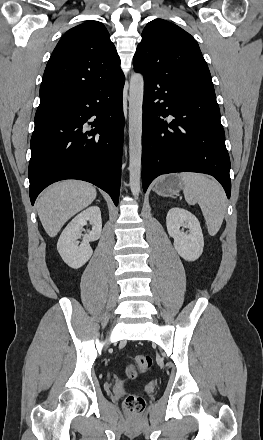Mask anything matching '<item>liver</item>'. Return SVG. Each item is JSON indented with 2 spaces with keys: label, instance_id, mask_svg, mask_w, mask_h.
<instances>
[{
  "label": "liver",
  "instance_id": "liver-1",
  "mask_svg": "<svg viewBox=\"0 0 263 440\" xmlns=\"http://www.w3.org/2000/svg\"><path fill=\"white\" fill-rule=\"evenodd\" d=\"M95 187L84 181L67 180L45 190L37 202L43 228L55 237L73 215L90 205L96 198Z\"/></svg>",
  "mask_w": 263,
  "mask_h": 440
}]
</instances>
